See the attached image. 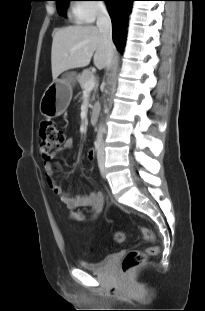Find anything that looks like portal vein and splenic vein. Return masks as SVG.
<instances>
[{
	"label": "portal vein and splenic vein",
	"mask_w": 205,
	"mask_h": 311,
	"mask_svg": "<svg viewBox=\"0 0 205 311\" xmlns=\"http://www.w3.org/2000/svg\"><path fill=\"white\" fill-rule=\"evenodd\" d=\"M95 85H96V79H95V77H93L88 82H86L84 90L85 91H90V90H92L95 87Z\"/></svg>",
	"instance_id": "obj_1"
}]
</instances>
